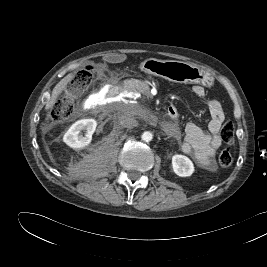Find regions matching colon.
<instances>
[{"instance_id":"obj_1","label":"colon","mask_w":267,"mask_h":267,"mask_svg":"<svg viewBox=\"0 0 267 267\" xmlns=\"http://www.w3.org/2000/svg\"><path fill=\"white\" fill-rule=\"evenodd\" d=\"M94 77L92 67H85L80 70L74 79L69 83L63 96L54 104L50 111L49 118L52 122H60L68 118L73 109L76 98L91 84ZM235 127L232 121H226L221 130L220 137L226 144L234 142ZM218 162L222 168H227L233 163V156L228 149L220 152Z\"/></svg>"}]
</instances>
